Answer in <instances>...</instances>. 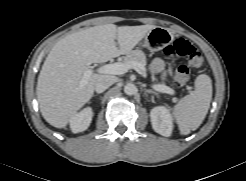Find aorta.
Here are the masks:
<instances>
[{
  "label": "aorta",
  "mask_w": 246,
  "mask_h": 181,
  "mask_svg": "<svg viewBox=\"0 0 246 181\" xmlns=\"http://www.w3.org/2000/svg\"><path fill=\"white\" fill-rule=\"evenodd\" d=\"M124 92L127 94V95H134L136 92H137V88L134 84L132 83H127L125 86H124Z\"/></svg>",
  "instance_id": "762f6f07"
}]
</instances>
